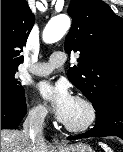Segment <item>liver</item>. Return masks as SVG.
<instances>
[{
    "label": "liver",
    "mask_w": 123,
    "mask_h": 152,
    "mask_svg": "<svg viewBox=\"0 0 123 152\" xmlns=\"http://www.w3.org/2000/svg\"><path fill=\"white\" fill-rule=\"evenodd\" d=\"M49 152L43 142H38L35 149L23 131L1 130V152Z\"/></svg>",
    "instance_id": "6515ba94"
}]
</instances>
